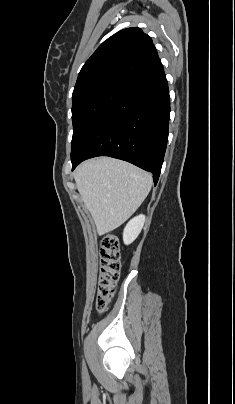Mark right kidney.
Masks as SVG:
<instances>
[{
    "label": "right kidney",
    "instance_id": "right-kidney-1",
    "mask_svg": "<svg viewBox=\"0 0 235 404\" xmlns=\"http://www.w3.org/2000/svg\"><path fill=\"white\" fill-rule=\"evenodd\" d=\"M144 222V215H139L129 221L123 232V241L126 245L131 244L138 237L143 228Z\"/></svg>",
    "mask_w": 235,
    "mask_h": 404
}]
</instances>
